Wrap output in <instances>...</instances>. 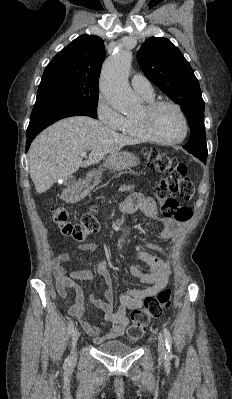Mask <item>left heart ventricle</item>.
<instances>
[{"label": "left heart ventricle", "mask_w": 232, "mask_h": 399, "mask_svg": "<svg viewBox=\"0 0 232 399\" xmlns=\"http://www.w3.org/2000/svg\"><path fill=\"white\" fill-rule=\"evenodd\" d=\"M142 114L143 109L138 116ZM151 128L158 137L166 140H177L184 133V124L178 111L167 105L160 107L154 113Z\"/></svg>", "instance_id": "left-heart-ventricle-1"}]
</instances>
